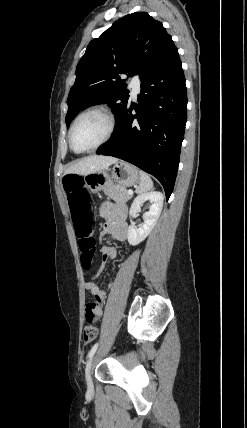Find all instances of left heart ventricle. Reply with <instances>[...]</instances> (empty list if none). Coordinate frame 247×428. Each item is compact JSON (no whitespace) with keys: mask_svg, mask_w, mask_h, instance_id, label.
I'll use <instances>...</instances> for the list:
<instances>
[{"mask_svg":"<svg viewBox=\"0 0 247 428\" xmlns=\"http://www.w3.org/2000/svg\"><path fill=\"white\" fill-rule=\"evenodd\" d=\"M107 120L98 113L82 117L73 132V142L77 148L86 149L99 143L106 135Z\"/></svg>","mask_w":247,"mask_h":428,"instance_id":"left-heart-ventricle-1","label":"left heart ventricle"}]
</instances>
